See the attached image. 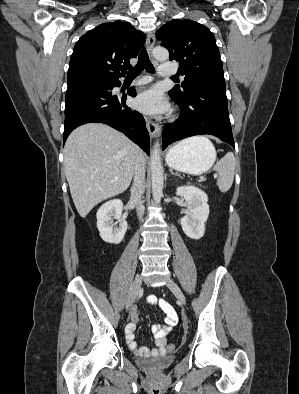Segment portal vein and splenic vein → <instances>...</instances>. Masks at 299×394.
<instances>
[{
	"label": "portal vein and splenic vein",
	"mask_w": 299,
	"mask_h": 394,
	"mask_svg": "<svg viewBox=\"0 0 299 394\" xmlns=\"http://www.w3.org/2000/svg\"><path fill=\"white\" fill-rule=\"evenodd\" d=\"M214 178H217V174H214ZM115 179H117V178H115Z\"/></svg>",
	"instance_id": "18ae733b"
}]
</instances>
